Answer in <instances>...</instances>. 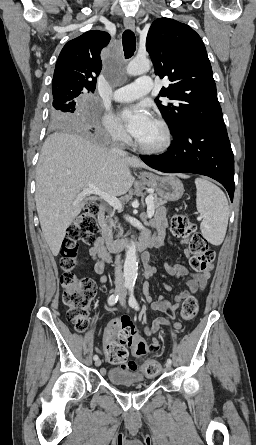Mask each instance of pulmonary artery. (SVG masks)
Instances as JSON below:
<instances>
[{
  "label": "pulmonary artery",
  "instance_id": "obj_1",
  "mask_svg": "<svg viewBox=\"0 0 256 445\" xmlns=\"http://www.w3.org/2000/svg\"><path fill=\"white\" fill-rule=\"evenodd\" d=\"M152 88L153 81L151 77L143 76L134 83L115 90L112 98L117 102H131L149 93Z\"/></svg>",
  "mask_w": 256,
  "mask_h": 445
}]
</instances>
